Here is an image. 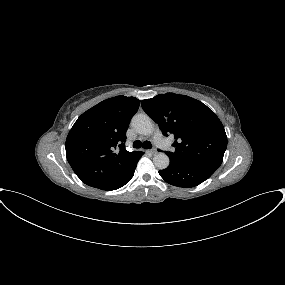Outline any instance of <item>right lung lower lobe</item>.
Wrapping results in <instances>:
<instances>
[{"label":"right lung lower lobe","instance_id":"right-lung-lower-lobe-1","mask_svg":"<svg viewBox=\"0 0 285 285\" xmlns=\"http://www.w3.org/2000/svg\"><path fill=\"white\" fill-rule=\"evenodd\" d=\"M142 152H141V156H142ZM140 156V157H141ZM140 159V158H139ZM135 168L136 166L131 170V172L125 177L123 178L122 180L118 181V182H115V183H112V184H109V185H106V186H103V187H100L99 189H102V190H107V191H111V190H116L118 188H121L122 186H124L126 183H128L131 178L133 177L134 175V171H135Z\"/></svg>","mask_w":285,"mask_h":285}]
</instances>
